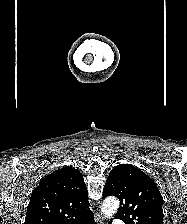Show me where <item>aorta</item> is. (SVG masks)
Listing matches in <instances>:
<instances>
[{
	"instance_id": "1",
	"label": "aorta",
	"mask_w": 187,
	"mask_h": 224,
	"mask_svg": "<svg viewBox=\"0 0 187 224\" xmlns=\"http://www.w3.org/2000/svg\"><path fill=\"white\" fill-rule=\"evenodd\" d=\"M118 208L119 200L115 197H108L103 201L102 212L106 218L114 216Z\"/></svg>"
}]
</instances>
